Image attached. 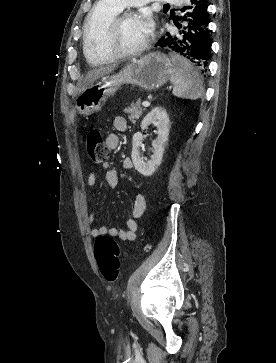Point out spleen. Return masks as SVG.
<instances>
[{"mask_svg": "<svg viewBox=\"0 0 276 363\" xmlns=\"http://www.w3.org/2000/svg\"><path fill=\"white\" fill-rule=\"evenodd\" d=\"M173 95L183 99L196 100L203 95V82L199 73L185 58L171 54Z\"/></svg>", "mask_w": 276, "mask_h": 363, "instance_id": "obj_1", "label": "spleen"}]
</instances>
